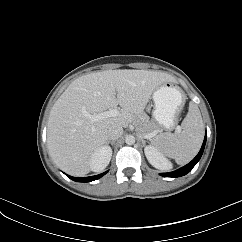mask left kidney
Wrapping results in <instances>:
<instances>
[{"mask_svg":"<svg viewBox=\"0 0 242 242\" xmlns=\"http://www.w3.org/2000/svg\"><path fill=\"white\" fill-rule=\"evenodd\" d=\"M145 156L148 162L159 170H169L172 168V164L167 160L157 148L154 146H147L144 148Z\"/></svg>","mask_w":242,"mask_h":242,"instance_id":"obj_1","label":"left kidney"}]
</instances>
